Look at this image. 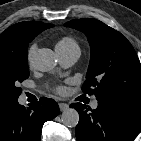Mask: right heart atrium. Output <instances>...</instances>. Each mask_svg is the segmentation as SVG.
Wrapping results in <instances>:
<instances>
[{
	"label": "right heart atrium",
	"mask_w": 141,
	"mask_h": 141,
	"mask_svg": "<svg viewBox=\"0 0 141 141\" xmlns=\"http://www.w3.org/2000/svg\"><path fill=\"white\" fill-rule=\"evenodd\" d=\"M36 49H37V46L35 43L30 44L27 49L26 59L29 66H31L32 64V60L36 52Z\"/></svg>",
	"instance_id": "1"
}]
</instances>
